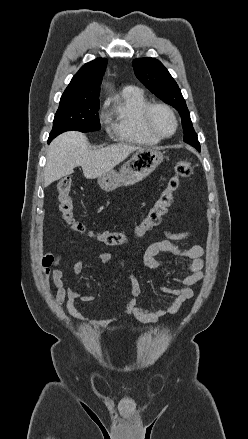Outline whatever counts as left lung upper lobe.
<instances>
[{"label": "left lung upper lobe", "mask_w": 248, "mask_h": 439, "mask_svg": "<svg viewBox=\"0 0 248 439\" xmlns=\"http://www.w3.org/2000/svg\"><path fill=\"white\" fill-rule=\"evenodd\" d=\"M132 64L139 81L162 101L178 110L182 117L184 142L200 150V144L186 102L168 70L155 58L135 59Z\"/></svg>", "instance_id": "obj_1"}]
</instances>
